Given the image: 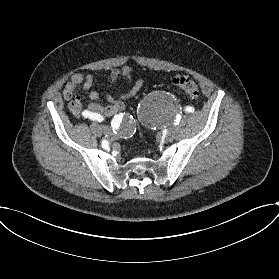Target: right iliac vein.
<instances>
[{
  "label": "right iliac vein",
  "mask_w": 279,
  "mask_h": 279,
  "mask_svg": "<svg viewBox=\"0 0 279 279\" xmlns=\"http://www.w3.org/2000/svg\"><path fill=\"white\" fill-rule=\"evenodd\" d=\"M102 130L105 134H107L109 136L113 134L112 129L109 126H103Z\"/></svg>",
  "instance_id": "right-iliac-vein-1"
}]
</instances>
